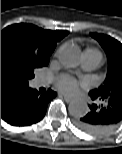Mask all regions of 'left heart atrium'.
Listing matches in <instances>:
<instances>
[{
	"label": "left heart atrium",
	"instance_id": "39dd6f15",
	"mask_svg": "<svg viewBox=\"0 0 122 154\" xmlns=\"http://www.w3.org/2000/svg\"><path fill=\"white\" fill-rule=\"evenodd\" d=\"M60 91L67 94H74L78 89V82L70 76L62 75L56 81Z\"/></svg>",
	"mask_w": 122,
	"mask_h": 154
}]
</instances>
